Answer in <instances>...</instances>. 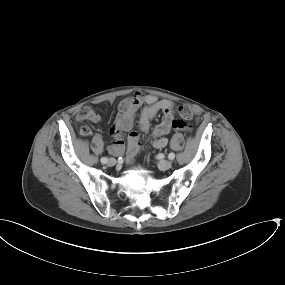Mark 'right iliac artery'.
Segmentation results:
<instances>
[{
    "instance_id": "obj_1",
    "label": "right iliac artery",
    "mask_w": 285,
    "mask_h": 285,
    "mask_svg": "<svg viewBox=\"0 0 285 285\" xmlns=\"http://www.w3.org/2000/svg\"><path fill=\"white\" fill-rule=\"evenodd\" d=\"M107 161H108V159H107L106 157H102V158H101V163H104V164H105V163H107Z\"/></svg>"
}]
</instances>
